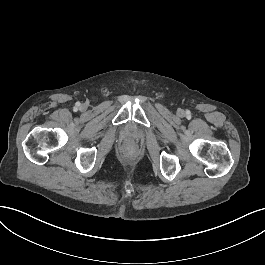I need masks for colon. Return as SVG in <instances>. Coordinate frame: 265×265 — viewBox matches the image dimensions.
Returning <instances> with one entry per match:
<instances>
[{"label": "colon", "instance_id": "colon-1", "mask_svg": "<svg viewBox=\"0 0 265 265\" xmlns=\"http://www.w3.org/2000/svg\"><path fill=\"white\" fill-rule=\"evenodd\" d=\"M127 149H128V151H130V152H131V151H133V149H134V148H133V146H131V145H130V146H128V148H127Z\"/></svg>", "mask_w": 265, "mask_h": 265}]
</instances>
